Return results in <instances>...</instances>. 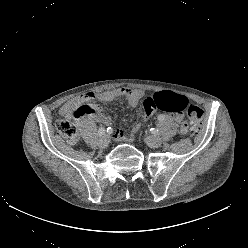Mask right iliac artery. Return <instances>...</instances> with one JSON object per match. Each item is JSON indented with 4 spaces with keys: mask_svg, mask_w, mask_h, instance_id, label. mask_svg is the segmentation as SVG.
Returning <instances> with one entry per match:
<instances>
[{
    "mask_svg": "<svg viewBox=\"0 0 248 248\" xmlns=\"http://www.w3.org/2000/svg\"><path fill=\"white\" fill-rule=\"evenodd\" d=\"M105 128L104 127H100L99 130H98V135L101 137L105 134Z\"/></svg>",
    "mask_w": 248,
    "mask_h": 248,
    "instance_id": "right-iliac-artery-1",
    "label": "right iliac artery"
}]
</instances>
